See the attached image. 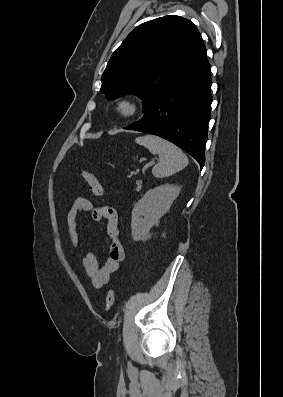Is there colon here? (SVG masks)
Returning <instances> with one entry per match:
<instances>
[{
	"instance_id": "1",
	"label": "colon",
	"mask_w": 283,
	"mask_h": 397,
	"mask_svg": "<svg viewBox=\"0 0 283 397\" xmlns=\"http://www.w3.org/2000/svg\"><path fill=\"white\" fill-rule=\"evenodd\" d=\"M79 172L80 175L88 184V187L93 192V194L96 195L97 197L103 196L104 189L101 183L99 182V180L97 179V177L95 176V174L86 167L81 168ZM115 300L116 298L114 292L112 290H109L106 294V299H105V306L107 310L113 307Z\"/></svg>"
}]
</instances>
